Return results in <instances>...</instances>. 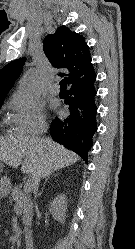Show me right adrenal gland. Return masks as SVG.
<instances>
[{
    "label": "right adrenal gland",
    "instance_id": "obj_1",
    "mask_svg": "<svg viewBox=\"0 0 135 249\" xmlns=\"http://www.w3.org/2000/svg\"><path fill=\"white\" fill-rule=\"evenodd\" d=\"M56 175H57V174H55L54 176H56ZM49 179H50V177L46 178V180H45V182H44V185H45V183H46ZM44 185H43V187H44ZM42 190H43V188H42ZM41 193H42V192L39 193V196L41 195Z\"/></svg>",
    "mask_w": 135,
    "mask_h": 249
}]
</instances>
